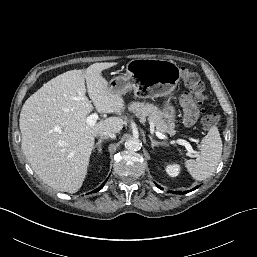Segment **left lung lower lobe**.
<instances>
[{
  "mask_svg": "<svg viewBox=\"0 0 257 257\" xmlns=\"http://www.w3.org/2000/svg\"><path fill=\"white\" fill-rule=\"evenodd\" d=\"M157 185V184H156ZM157 187H159L160 189H162L159 185H157ZM199 186L195 187L194 189L198 188Z\"/></svg>",
  "mask_w": 257,
  "mask_h": 257,
  "instance_id": "left-lung-lower-lobe-1",
  "label": "left lung lower lobe"
}]
</instances>
